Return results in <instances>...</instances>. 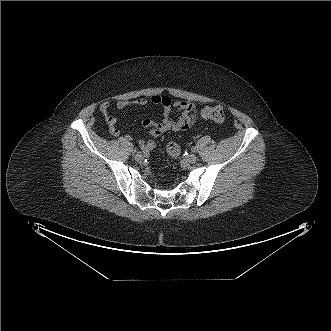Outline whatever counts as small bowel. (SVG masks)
<instances>
[{
  "mask_svg": "<svg viewBox=\"0 0 331 331\" xmlns=\"http://www.w3.org/2000/svg\"><path fill=\"white\" fill-rule=\"evenodd\" d=\"M149 104L161 106L163 109V119L161 122H155L151 119H145L142 122V127L155 138H161L168 131L180 132L192 128L199 116V111L194 103L184 100L172 101L169 97L163 95H154L150 98H139L134 101L119 100L116 102V107L120 110L125 109L129 105L147 106ZM100 112L105 118L109 126V131L112 136H119L120 131L116 126L117 118L110 112V103L103 102L100 105ZM131 134H126L125 139L131 140ZM157 140L138 139V143L142 149L150 151L157 145Z\"/></svg>",
  "mask_w": 331,
  "mask_h": 331,
  "instance_id": "c3829d8e",
  "label": "small bowel"
}]
</instances>
